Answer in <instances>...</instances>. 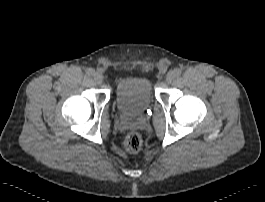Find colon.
I'll use <instances>...</instances> for the list:
<instances>
[{
    "mask_svg": "<svg viewBox=\"0 0 265 202\" xmlns=\"http://www.w3.org/2000/svg\"><path fill=\"white\" fill-rule=\"evenodd\" d=\"M142 142V136L138 132H131L126 136L124 145L129 153H137L142 146Z\"/></svg>",
    "mask_w": 265,
    "mask_h": 202,
    "instance_id": "5ec220e1",
    "label": "colon"
}]
</instances>
